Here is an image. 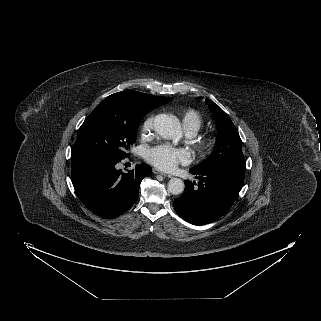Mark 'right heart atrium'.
<instances>
[{
    "label": "right heart atrium",
    "instance_id": "1",
    "mask_svg": "<svg viewBox=\"0 0 321 321\" xmlns=\"http://www.w3.org/2000/svg\"><path fill=\"white\" fill-rule=\"evenodd\" d=\"M153 123H154V116H149L146 118L142 125V133L143 134H148L153 128Z\"/></svg>",
    "mask_w": 321,
    "mask_h": 321
}]
</instances>
